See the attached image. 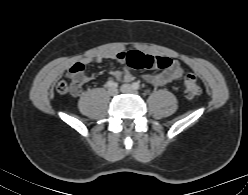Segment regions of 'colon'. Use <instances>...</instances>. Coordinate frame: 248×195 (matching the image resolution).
Instances as JSON below:
<instances>
[{
	"label": "colon",
	"instance_id": "1",
	"mask_svg": "<svg viewBox=\"0 0 248 195\" xmlns=\"http://www.w3.org/2000/svg\"><path fill=\"white\" fill-rule=\"evenodd\" d=\"M126 65L132 69L159 68L167 69L171 66L172 60L165 56H154L138 51H131L120 56ZM83 71L81 67H76L67 74L66 79L61 80L57 85L60 94H78L83 83ZM201 93V87L195 75L187 74L184 79V95L192 101Z\"/></svg>",
	"mask_w": 248,
	"mask_h": 195
}]
</instances>
